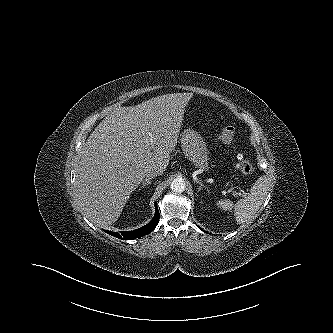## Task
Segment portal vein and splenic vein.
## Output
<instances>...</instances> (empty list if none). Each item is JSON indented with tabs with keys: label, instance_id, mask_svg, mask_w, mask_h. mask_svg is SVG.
Returning <instances> with one entry per match:
<instances>
[{
	"label": "portal vein and splenic vein",
	"instance_id": "portal-vein-and-splenic-vein-1",
	"mask_svg": "<svg viewBox=\"0 0 333 333\" xmlns=\"http://www.w3.org/2000/svg\"><path fill=\"white\" fill-rule=\"evenodd\" d=\"M231 191H232V193H233L234 196L238 195V193L236 191H234L233 189H231Z\"/></svg>",
	"mask_w": 333,
	"mask_h": 333
}]
</instances>
